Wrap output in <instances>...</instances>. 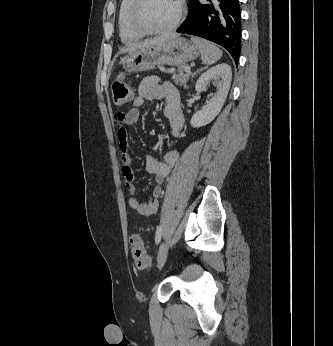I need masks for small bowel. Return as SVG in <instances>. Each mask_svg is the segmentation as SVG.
I'll return each mask as SVG.
<instances>
[{
  "mask_svg": "<svg viewBox=\"0 0 333 346\" xmlns=\"http://www.w3.org/2000/svg\"><path fill=\"white\" fill-rule=\"evenodd\" d=\"M164 99L166 104L164 114L170 123L171 133L177 136L182 128L184 116L181 108L180 95L178 90L168 81H162L157 76H148L142 80L138 88V95L133 98V107L129 109L123 117L117 115V138L120 143V156L122 161V174L127 189L131 194L138 190L135 184V175L132 169L133 161L128 146L127 127L138 122L140 117L139 107L149 100ZM179 157L177 150L167 152L163 159L149 156L146 159V171L154 176L155 184L152 190V197L145 203L136 197L129 199L130 207L140 215L151 216L158 209V199L162 195V185L175 165ZM150 258V257H149Z\"/></svg>",
  "mask_w": 333,
  "mask_h": 346,
  "instance_id": "small-bowel-1",
  "label": "small bowel"
}]
</instances>
